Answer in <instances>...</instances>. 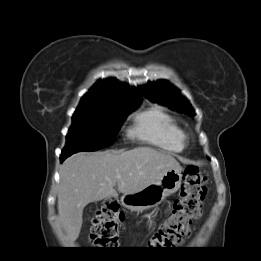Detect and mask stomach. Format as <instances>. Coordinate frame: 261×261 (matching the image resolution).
I'll return each mask as SVG.
<instances>
[{
	"label": "stomach",
	"mask_w": 261,
	"mask_h": 261,
	"mask_svg": "<svg viewBox=\"0 0 261 261\" xmlns=\"http://www.w3.org/2000/svg\"><path fill=\"white\" fill-rule=\"evenodd\" d=\"M181 168L167 171L159 180L135 193L124 194L122 205L131 211H143L159 205L181 186Z\"/></svg>",
	"instance_id": "0dacf381"
}]
</instances>
